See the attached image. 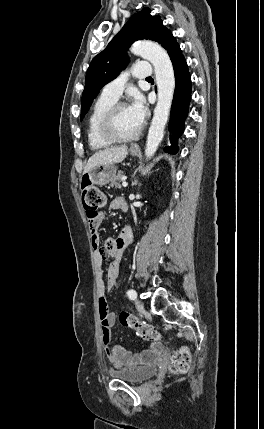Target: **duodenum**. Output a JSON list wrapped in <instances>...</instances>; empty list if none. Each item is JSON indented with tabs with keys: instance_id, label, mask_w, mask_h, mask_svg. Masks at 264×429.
<instances>
[{
	"instance_id": "obj_1",
	"label": "duodenum",
	"mask_w": 264,
	"mask_h": 429,
	"mask_svg": "<svg viewBox=\"0 0 264 429\" xmlns=\"http://www.w3.org/2000/svg\"><path fill=\"white\" fill-rule=\"evenodd\" d=\"M121 210H122V211H127V204H126V202H124V203L121 205Z\"/></svg>"
}]
</instances>
